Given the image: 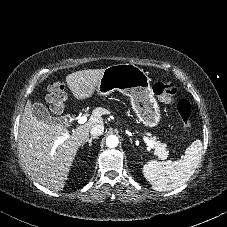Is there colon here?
<instances>
[{"mask_svg":"<svg viewBox=\"0 0 227 227\" xmlns=\"http://www.w3.org/2000/svg\"><path fill=\"white\" fill-rule=\"evenodd\" d=\"M153 93L163 102L172 103L177 95V88L171 82H157L153 85ZM65 89L62 83L53 82L48 86L47 100L54 114H60L65 105ZM180 122L185 129L191 127V104L187 100H181L176 106Z\"/></svg>","mask_w":227,"mask_h":227,"instance_id":"5ec220e1","label":"colon"}]
</instances>
